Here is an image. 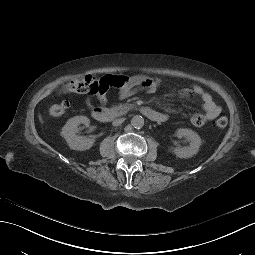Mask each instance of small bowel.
<instances>
[{
	"mask_svg": "<svg viewBox=\"0 0 255 255\" xmlns=\"http://www.w3.org/2000/svg\"><path fill=\"white\" fill-rule=\"evenodd\" d=\"M162 84V80L158 78L143 75L134 76L131 78L129 85L122 88L119 93V98L126 99L141 90L154 93ZM95 94L101 103H106L105 91H99ZM179 96L189 99L198 98L201 101L204 113H196L190 118L191 123L197 127H201L214 120L222 111L221 107L214 102L212 96L199 85H193L191 88L181 90ZM86 103L91 106L89 96L86 97Z\"/></svg>",
	"mask_w": 255,
	"mask_h": 255,
	"instance_id": "small-bowel-1",
	"label": "small bowel"
}]
</instances>
